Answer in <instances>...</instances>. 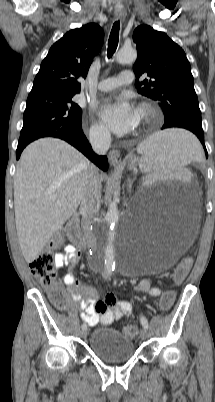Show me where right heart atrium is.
<instances>
[{
  "instance_id": "right-heart-atrium-1",
  "label": "right heart atrium",
  "mask_w": 215,
  "mask_h": 402,
  "mask_svg": "<svg viewBox=\"0 0 215 402\" xmlns=\"http://www.w3.org/2000/svg\"><path fill=\"white\" fill-rule=\"evenodd\" d=\"M89 136L91 140L96 143H105L110 138L109 131L105 127V125L95 120L91 121V125L89 128Z\"/></svg>"
}]
</instances>
